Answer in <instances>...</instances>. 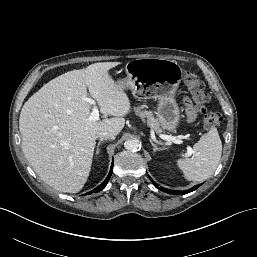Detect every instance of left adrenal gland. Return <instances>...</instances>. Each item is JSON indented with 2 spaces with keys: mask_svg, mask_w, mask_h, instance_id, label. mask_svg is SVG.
<instances>
[{
  "mask_svg": "<svg viewBox=\"0 0 257 257\" xmlns=\"http://www.w3.org/2000/svg\"><path fill=\"white\" fill-rule=\"evenodd\" d=\"M149 140H150V143H151V145H152V147H153L154 152L164 150L163 148H159L156 144H154L151 139H149Z\"/></svg>",
  "mask_w": 257,
  "mask_h": 257,
  "instance_id": "1",
  "label": "left adrenal gland"
}]
</instances>
